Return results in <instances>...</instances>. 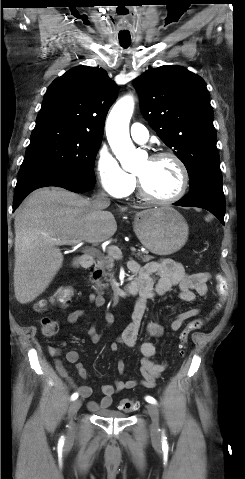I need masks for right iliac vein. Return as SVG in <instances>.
Instances as JSON below:
<instances>
[{
  "label": "right iliac vein",
  "instance_id": "right-iliac-vein-1",
  "mask_svg": "<svg viewBox=\"0 0 245 479\" xmlns=\"http://www.w3.org/2000/svg\"><path fill=\"white\" fill-rule=\"evenodd\" d=\"M81 407V401L80 400H75L73 401L71 404H70V407H69V417L71 419L70 421V425L73 426V423H72V419L73 417L76 415V413L78 412V410L80 409Z\"/></svg>",
  "mask_w": 245,
  "mask_h": 479
}]
</instances>
